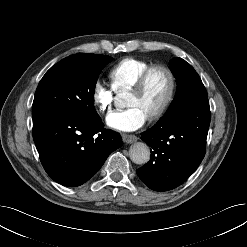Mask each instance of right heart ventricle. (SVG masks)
<instances>
[{"label": "right heart ventricle", "mask_w": 247, "mask_h": 247, "mask_svg": "<svg viewBox=\"0 0 247 247\" xmlns=\"http://www.w3.org/2000/svg\"><path fill=\"white\" fill-rule=\"evenodd\" d=\"M150 66L151 63L142 59L129 57L121 60L109 73L113 88L118 92L130 90Z\"/></svg>", "instance_id": "e07e8e85"}]
</instances>
